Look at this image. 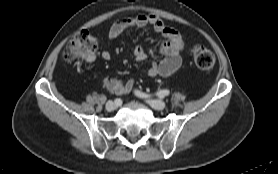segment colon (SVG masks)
<instances>
[{"label":"colon","mask_w":278,"mask_h":174,"mask_svg":"<svg viewBox=\"0 0 278 174\" xmlns=\"http://www.w3.org/2000/svg\"><path fill=\"white\" fill-rule=\"evenodd\" d=\"M98 50L97 39L88 31L78 32L66 45L63 50L65 61L71 62L79 59H87L93 56ZM192 57L195 65L203 71L210 70L215 64L214 54L202 45H195L192 48Z\"/></svg>","instance_id":"1"}]
</instances>
